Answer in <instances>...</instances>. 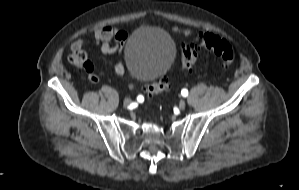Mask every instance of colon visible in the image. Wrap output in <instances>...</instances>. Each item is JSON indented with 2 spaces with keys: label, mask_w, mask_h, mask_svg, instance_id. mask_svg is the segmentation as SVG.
I'll use <instances>...</instances> for the list:
<instances>
[{
  "label": "colon",
  "mask_w": 299,
  "mask_h": 190,
  "mask_svg": "<svg viewBox=\"0 0 299 190\" xmlns=\"http://www.w3.org/2000/svg\"><path fill=\"white\" fill-rule=\"evenodd\" d=\"M201 49L212 52L222 61L224 67L229 68L235 61V52L230 43L214 33H204L200 41L184 43L181 49V61L185 69L190 70L198 60ZM68 61L75 67L84 68L88 74L94 72V66L88 59L87 52L83 48H73ZM170 88L168 78L161 77L144 87L148 96H155Z\"/></svg>",
  "instance_id": "1"
}]
</instances>
